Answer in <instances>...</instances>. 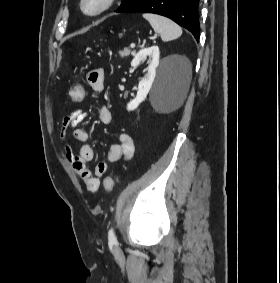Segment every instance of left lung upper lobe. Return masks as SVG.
<instances>
[{
	"label": "left lung upper lobe",
	"instance_id": "obj_1",
	"mask_svg": "<svg viewBox=\"0 0 280 283\" xmlns=\"http://www.w3.org/2000/svg\"><path fill=\"white\" fill-rule=\"evenodd\" d=\"M137 0H122L121 6L117 9V12H122L130 7Z\"/></svg>",
	"mask_w": 280,
	"mask_h": 283
}]
</instances>
